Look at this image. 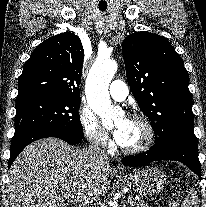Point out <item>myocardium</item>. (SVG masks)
Listing matches in <instances>:
<instances>
[{"label": "myocardium", "mask_w": 206, "mask_h": 207, "mask_svg": "<svg viewBox=\"0 0 206 207\" xmlns=\"http://www.w3.org/2000/svg\"><path fill=\"white\" fill-rule=\"evenodd\" d=\"M130 121H136L143 125L146 131V137L144 141L133 148H125L121 146V150L123 153L128 155H137L146 152L150 149V147L153 145L155 140V128L152 124V122L144 115L141 114H133L130 119Z\"/></svg>", "instance_id": "1"}]
</instances>
